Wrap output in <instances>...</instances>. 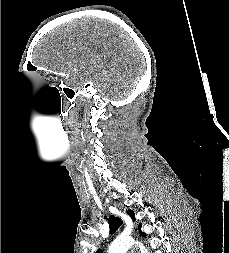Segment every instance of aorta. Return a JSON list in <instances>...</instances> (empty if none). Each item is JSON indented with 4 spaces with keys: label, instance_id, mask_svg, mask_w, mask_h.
<instances>
[{
    "label": "aorta",
    "instance_id": "aorta-1",
    "mask_svg": "<svg viewBox=\"0 0 229 253\" xmlns=\"http://www.w3.org/2000/svg\"><path fill=\"white\" fill-rule=\"evenodd\" d=\"M133 243V240L117 238L111 243L108 253H126ZM136 245L139 246L141 253H149L142 243L136 242Z\"/></svg>",
    "mask_w": 229,
    "mask_h": 253
}]
</instances>
